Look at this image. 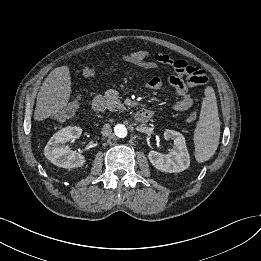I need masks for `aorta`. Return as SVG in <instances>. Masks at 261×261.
Here are the masks:
<instances>
[{"label": "aorta", "mask_w": 261, "mask_h": 261, "mask_svg": "<svg viewBox=\"0 0 261 261\" xmlns=\"http://www.w3.org/2000/svg\"><path fill=\"white\" fill-rule=\"evenodd\" d=\"M114 133L119 138H125L127 136V128L123 124H117L114 127Z\"/></svg>", "instance_id": "762f6f07"}]
</instances>
